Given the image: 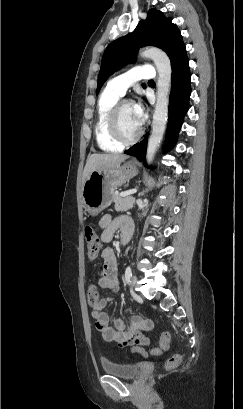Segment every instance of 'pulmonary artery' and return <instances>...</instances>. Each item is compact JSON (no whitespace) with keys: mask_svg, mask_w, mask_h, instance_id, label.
I'll return each mask as SVG.
<instances>
[{"mask_svg":"<svg viewBox=\"0 0 243 409\" xmlns=\"http://www.w3.org/2000/svg\"><path fill=\"white\" fill-rule=\"evenodd\" d=\"M153 67L137 66L129 71L122 73L107 83V88L119 96L125 95L127 89L135 82L144 79L155 78Z\"/></svg>","mask_w":243,"mask_h":409,"instance_id":"e3ab8cb5","label":"pulmonary artery"}]
</instances>
